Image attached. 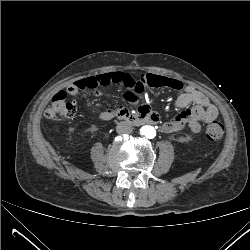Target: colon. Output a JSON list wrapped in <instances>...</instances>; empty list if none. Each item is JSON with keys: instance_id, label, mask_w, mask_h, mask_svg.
<instances>
[{"instance_id": "obj_1", "label": "colon", "mask_w": 250, "mask_h": 250, "mask_svg": "<svg viewBox=\"0 0 250 250\" xmlns=\"http://www.w3.org/2000/svg\"><path fill=\"white\" fill-rule=\"evenodd\" d=\"M165 82L166 79L159 75L148 74L141 79H135L132 74L123 71L108 72L91 78L80 79L69 85L66 90L60 91L53 96L45 111V116L56 121L73 118L77 113V106L74 101L68 100V95H74L81 90L96 89L112 84H123L129 87L131 83L136 84L137 89L141 90L143 88L163 86ZM223 133L224 127L220 121L214 120L207 126L206 136L211 141L221 139Z\"/></svg>"}]
</instances>
